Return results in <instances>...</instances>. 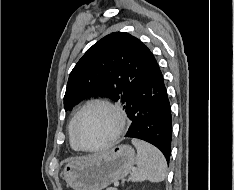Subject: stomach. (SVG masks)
<instances>
[{"label":"stomach","instance_id":"1","mask_svg":"<svg viewBox=\"0 0 234 190\" xmlns=\"http://www.w3.org/2000/svg\"><path fill=\"white\" fill-rule=\"evenodd\" d=\"M135 160V150L130 145H118L94 156L72 160L64 167L63 175L74 190H102L126 177Z\"/></svg>","mask_w":234,"mask_h":190}]
</instances>
